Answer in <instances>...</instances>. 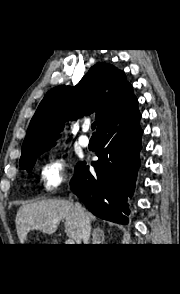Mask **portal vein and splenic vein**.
Instances as JSON below:
<instances>
[{"label": "portal vein and splenic vein", "mask_w": 180, "mask_h": 294, "mask_svg": "<svg viewBox=\"0 0 180 294\" xmlns=\"http://www.w3.org/2000/svg\"><path fill=\"white\" fill-rule=\"evenodd\" d=\"M66 244L73 245V244H75V243H74V240H73V239H68V240L66 241Z\"/></svg>", "instance_id": "1"}]
</instances>
